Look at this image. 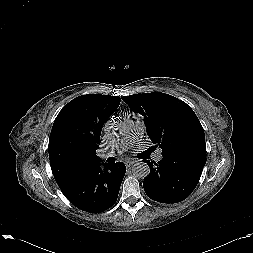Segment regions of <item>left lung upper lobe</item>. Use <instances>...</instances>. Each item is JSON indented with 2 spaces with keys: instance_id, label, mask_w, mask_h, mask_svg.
Segmentation results:
<instances>
[{
  "instance_id": "left-lung-upper-lobe-1",
  "label": "left lung upper lobe",
  "mask_w": 253,
  "mask_h": 253,
  "mask_svg": "<svg viewBox=\"0 0 253 253\" xmlns=\"http://www.w3.org/2000/svg\"><path fill=\"white\" fill-rule=\"evenodd\" d=\"M122 100L144 116L147 134L162 155L192 152L206 156L203 127L182 100L161 92L123 96Z\"/></svg>"
}]
</instances>
